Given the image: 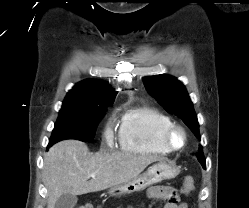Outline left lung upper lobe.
Returning <instances> with one entry per match:
<instances>
[{
    "label": "left lung upper lobe",
    "mask_w": 249,
    "mask_h": 208,
    "mask_svg": "<svg viewBox=\"0 0 249 208\" xmlns=\"http://www.w3.org/2000/svg\"><path fill=\"white\" fill-rule=\"evenodd\" d=\"M144 85L166 111L181 118L200 140L199 124L193 104L184 85L179 80L169 75H162L144 79ZM197 158L205 169L202 147H200Z\"/></svg>",
    "instance_id": "5c2ea615"
}]
</instances>
